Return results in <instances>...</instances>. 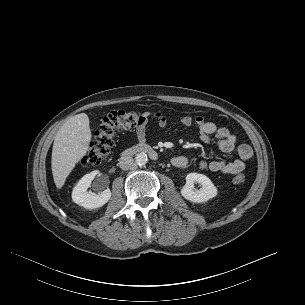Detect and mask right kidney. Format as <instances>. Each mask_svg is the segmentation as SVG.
<instances>
[{
  "label": "right kidney",
  "instance_id": "obj_1",
  "mask_svg": "<svg viewBox=\"0 0 305 305\" xmlns=\"http://www.w3.org/2000/svg\"><path fill=\"white\" fill-rule=\"evenodd\" d=\"M97 172L93 171L84 175L72 191V200L86 208L95 209L105 205L111 198V191L107 188L101 193L95 194L94 192L87 191L90 187L92 180L95 178Z\"/></svg>",
  "mask_w": 305,
  "mask_h": 305
}]
</instances>
